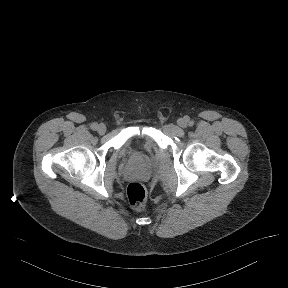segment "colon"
I'll return each instance as SVG.
<instances>
[{
  "instance_id": "5ec220e1",
  "label": "colon",
  "mask_w": 288,
  "mask_h": 288,
  "mask_svg": "<svg viewBox=\"0 0 288 288\" xmlns=\"http://www.w3.org/2000/svg\"><path fill=\"white\" fill-rule=\"evenodd\" d=\"M126 194L128 203L134 210L142 211L144 209L147 192L140 182H131L127 187Z\"/></svg>"
}]
</instances>
